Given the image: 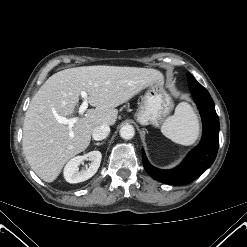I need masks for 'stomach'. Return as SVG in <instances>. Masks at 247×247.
I'll list each match as a JSON object with an SVG mask.
<instances>
[{
  "label": "stomach",
  "instance_id": "0dacf381",
  "mask_svg": "<svg viewBox=\"0 0 247 247\" xmlns=\"http://www.w3.org/2000/svg\"><path fill=\"white\" fill-rule=\"evenodd\" d=\"M173 108V101L164 89L163 77L147 86L141 103L134 115L141 125L159 126Z\"/></svg>",
  "mask_w": 247,
  "mask_h": 247
}]
</instances>
